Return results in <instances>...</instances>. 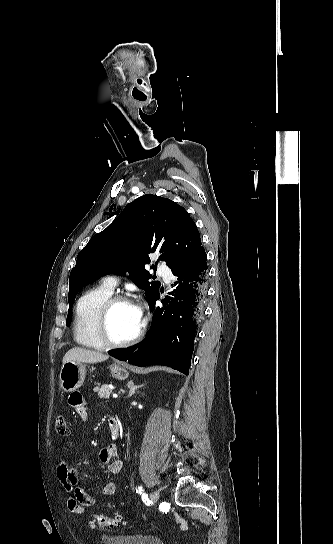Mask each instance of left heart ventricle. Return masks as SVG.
I'll use <instances>...</instances> for the list:
<instances>
[{
	"label": "left heart ventricle",
	"instance_id": "1",
	"mask_svg": "<svg viewBox=\"0 0 333 544\" xmlns=\"http://www.w3.org/2000/svg\"><path fill=\"white\" fill-rule=\"evenodd\" d=\"M139 326L140 320L137 318L133 304H118L110 313L108 328L113 340L129 339L136 333Z\"/></svg>",
	"mask_w": 333,
	"mask_h": 544
}]
</instances>
